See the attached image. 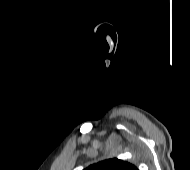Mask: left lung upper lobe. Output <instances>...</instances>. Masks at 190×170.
Listing matches in <instances>:
<instances>
[{"instance_id":"1","label":"left lung upper lobe","mask_w":190,"mask_h":170,"mask_svg":"<svg viewBox=\"0 0 190 170\" xmlns=\"http://www.w3.org/2000/svg\"><path fill=\"white\" fill-rule=\"evenodd\" d=\"M84 170H138V168L129 162L112 158L92 164Z\"/></svg>"}]
</instances>
